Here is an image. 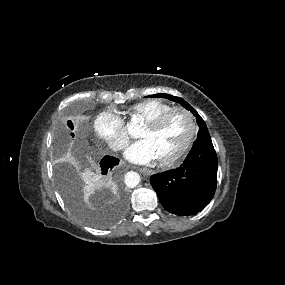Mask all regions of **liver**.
<instances>
[{
    "mask_svg": "<svg viewBox=\"0 0 285 285\" xmlns=\"http://www.w3.org/2000/svg\"><path fill=\"white\" fill-rule=\"evenodd\" d=\"M84 177H85V179H86V182H87V183H90V181H91L90 179H91V178H90L89 173H85Z\"/></svg>",
    "mask_w": 285,
    "mask_h": 285,
    "instance_id": "6515ba94",
    "label": "liver"
}]
</instances>
